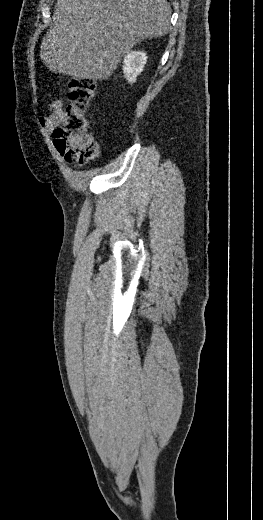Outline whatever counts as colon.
<instances>
[{"label":"colon","instance_id":"obj_1","mask_svg":"<svg viewBox=\"0 0 263 520\" xmlns=\"http://www.w3.org/2000/svg\"><path fill=\"white\" fill-rule=\"evenodd\" d=\"M95 91L96 83L92 79H72L68 83L69 103L53 136L56 149L69 162H87L98 154L97 143L88 132L87 119Z\"/></svg>","mask_w":263,"mask_h":520}]
</instances>
